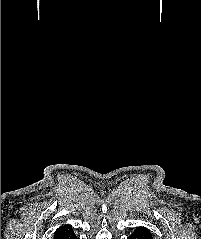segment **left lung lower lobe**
I'll list each match as a JSON object with an SVG mask.
<instances>
[{
    "mask_svg": "<svg viewBox=\"0 0 201 239\" xmlns=\"http://www.w3.org/2000/svg\"><path fill=\"white\" fill-rule=\"evenodd\" d=\"M128 239H153V236L149 229L137 227Z\"/></svg>",
    "mask_w": 201,
    "mask_h": 239,
    "instance_id": "0a47b994",
    "label": "left lung lower lobe"
}]
</instances>
